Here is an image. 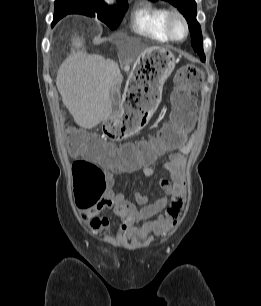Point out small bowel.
<instances>
[{"label":"small bowel","instance_id":"c3829d8e","mask_svg":"<svg viewBox=\"0 0 261 306\" xmlns=\"http://www.w3.org/2000/svg\"><path fill=\"white\" fill-rule=\"evenodd\" d=\"M195 137L180 149L167 155L164 169L169 173V178H161L158 187L165 193V197L149 201L145 194L137 193L134 201L127 198L124 193L113 190L117 173L141 171L145 176L154 174L150 163H137L132 166L119 165L111 167L106 172V192L104 197L92 208L82 211L80 216L83 221L96 231L104 230L109 225L107 217L98 214L107 208H113L120 218L119 236L128 239L145 238L152 234H162L174 227L180 219L185 198V164L186 154L192 147ZM109 157L114 153L113 148L107 146ZM158 218L157 215L161 214ZM143 222L140 227L135 224Z\"/></svg>","mask_w":261,"mask_h":306}]
</instances>
